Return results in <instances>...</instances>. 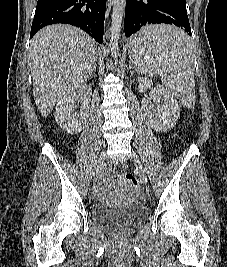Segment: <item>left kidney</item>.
I'll return each mask as SVG.
<instances>
[{
    "label": "left kidney",
    "mask_w": 227,
    "mask_h": 267,
    "mask_svg": "<svg viewBox=\"0 0 227 267\" xmlns=\"http://www.w3.org/2000/svg\"><path fill=\"white\" fill-rule=\"evenodd\" d=\"M138 81L140 92L147 91L152 85V81L147 78H139ZM155 92L162 101L161 105L154 107L144 100L143 107L147 110L149 126L157 132H166L175 126L180 115V108L176 99L163 86L157 85Z\"/></svg>",
    "instance_id": "obj_1"
}]
</instances>
